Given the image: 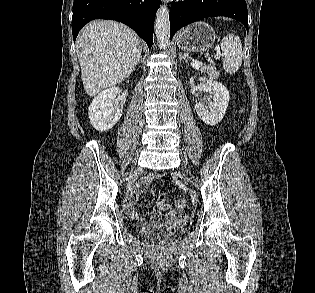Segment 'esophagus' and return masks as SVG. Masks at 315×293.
I'll return each instance as SVG.
<instances>
[{"mask_svg": "<svg viewBox=\"0 0 315 293\" xmlns=\"http://www.w3.org/2000/svg\"><path fill=\"white\" fill-rule=\"evenodd\" d=\"M165 3H168L170 0H163Z\"/></svg>", "mask_w": 315, "mask_h": 293, "instance_id": "obj_1", "label": "esophagus"}]
</instances>
